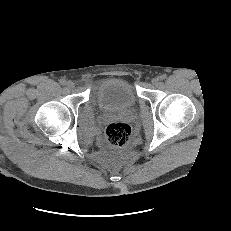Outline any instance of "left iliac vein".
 Returning a JSON list of instances; mask_svg holds the SVG:
<instances>
[{
  "label": "left iliac vein",
  "instance_id": "1",
  "mask_svg": "<svg viewBox=\"0 0 231 231\" xmlns=\"http://www.w3.org/2000/svg\"><path fill=\"white\" fill-rule=\"evenodd\" d=\"M159 78L158 77H155V78H153L152 80H151V82H152V84L153 85H157L158 84V82H159Z\"/></svg>",
  "mask_w": 231,
  "mask_h": 231
}]
</instances>
